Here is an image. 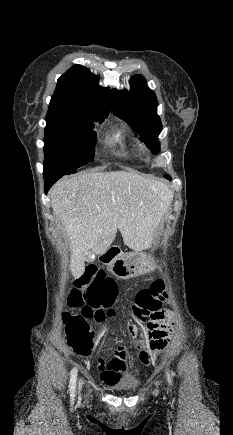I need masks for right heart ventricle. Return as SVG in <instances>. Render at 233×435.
<instances>
[{
  "label": "right heart ventricle",
  "instance_id": "right-heart-ventricle-1",
  "mask_svg": "<svg viewBox=\"0 0 233 435\" xmlns=\"http://www.w3.org/2000/svg\"><path fill=\"white\" fill-rule=\"evenodd\" d=\"M110 138L115 142H121L125 139V132L121 129L116 130L110 135Z\"/></svg>",
  "mask_w": 233,
  "mask_h": 435
}]
</instances>
